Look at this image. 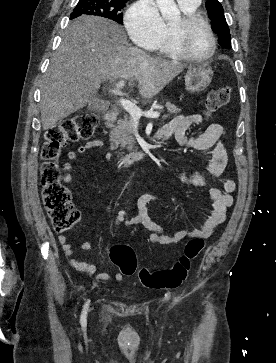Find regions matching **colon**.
Wrapping results in <instances>:
<instances>
[{
    "label": "colon",
    "mask_w": 276,
    "mask_h": 363,
    "mask_svg": "<svg viewBox=\"0 0 276 363\" xmlns=\"http://www.w3.org/2000/svg\"><path fill=\"white\" fill-rule=\"evenodd\" d=\"M229 99L230 89L226 86L211 91L205 100L207 113L217 112L227 105ZM97 124L98 117L87 112L68 117L45 132L40 173L42 199L56 233L67 232L80 219V211L71 205V193L62 183L63 174L58 164L61 148L69 142L90 138ZM203 247V238L195 237L186 244L183 255L172 268L157 271L139 269L140 284L148 289L178 287L187 278L191 260L197 257ZM110 259L123 275L130 276L136 272V254L131 247L124 244L113 246Z\"/></svg>",
    "instance_id": "1"
}]
</instances>
